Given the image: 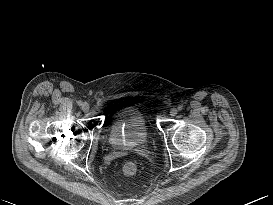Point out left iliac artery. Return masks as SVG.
Listing matches in <instances>:
<instances>
[{"instance_id": "left-iliac-artery-1", "label": "left iliac artery", "mask_w": 273, "mask_h": 205, "mask_svg": "<svg viewBox=\"0 0 273 205\" xmlns=\"http://www.w3.org/2000/svg\"><path fill=\"white\" fill-rule=\"evenodd\" d=\"M178 110H179V111L183 110V106H182V105H179V106H178Z\"/></svg>"}]
</instances>
